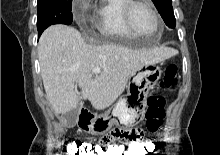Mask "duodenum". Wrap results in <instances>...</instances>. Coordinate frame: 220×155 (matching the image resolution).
Instances as JSON below:
<instances>
[{
    "instance_id": "1",
    "label": "duodenum",
    "mask_w": 220,
    "mask_h": 155,
    "mask_svg": "<svg viewBox=\"0 0 220 155\" xmlns=\"http://www.w3.org/2000/svg\"><path fill=\"white\" fill-rule=\"evenodd\" d=\"M94 116L88 109H81L78 114V124L80 126L89 125L93 120Z\"/></svg>"
}]
</instances>
